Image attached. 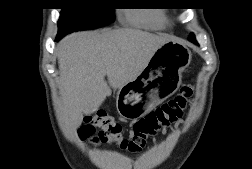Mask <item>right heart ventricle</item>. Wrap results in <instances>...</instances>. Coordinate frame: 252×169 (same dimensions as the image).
I'll list each match as a JSON object with an SVG mask.
<instances>
[{
	"mask_svg": "<svg viewBox=\"0 0 252 169\" xmlns=\"http://www.w3.org/2000/svg\"><path fill=\"white\" fill-rule=\"evenodd\" d=\"M126 17L135 25L142 27L157 28L165 23L163 15L156 12L133 10L126 12Z\"/></svg>",
	"mask_w": 252,
	"mask_h": 169,
	"instance_id": "obj_1",
	"label": "right heart ventricle"
}]
</instances>
